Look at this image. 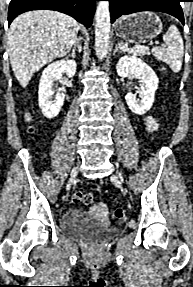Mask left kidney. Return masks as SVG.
Listing matches in <instances>:
<instances>
[{
	"label": "left kidney",
	"instance_id": "obj_1",
	"mask_svg": "<svg viewBox=\"0 0 193 287\" xmlns=\"http://www.w3.org/2000/svg\"><path fill=\"white\" fill-rule=\"evenodd\" d=\"M116 71L120 77L131 75L140 80L139 95L141 100H137L136 95L131 92L126 94L125 100L133 113L138 115L145 114L153 105L155 92L159 84V79L155 72L135 55L121 57L117 62Z\"/></svg>",
	"mask_w": 193,
	"mask_h": 287
}]
</instances>
